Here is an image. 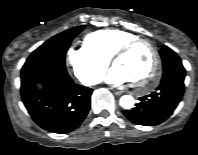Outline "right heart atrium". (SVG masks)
Wrapping results in <instances>:
<instances>
[{
  "label": "right heart atrium",
  "mask_w": 198,
  "mask_h": 155,
  "mask_svg": "<svg viewBox=\"0 0 198 155\" xmlns=\"http://www.w3.org/2000/svg\"><path fill=\"white\" fill-rule=\"evenodd\" d=\"M67 63L77 79L86 85H93L102 79L109 60L88 46L82 45L69 47Z\"/></svg>",
  "instance_id": "d8ad5b80"
}]
</instances>
